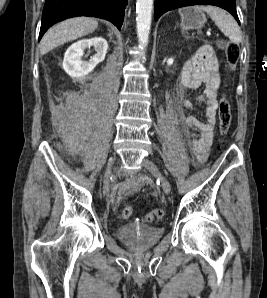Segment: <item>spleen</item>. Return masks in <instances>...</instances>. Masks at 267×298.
<instances>
[{
    "mask_svg": "<svg viewBox=\"0 0 267 298\" xmlns=\"http://www.w3.org/2000/svg\"><path fill=\"white\" fill-rule=\"evenodd\" d=\"M195 9L205 11L214 21L215 25L230 39L234 44H239L242 41L241 31L234 21L224 10L215 6H194Z\"/></svg>",
    "mask_w": 267,
    "mask_h": 298,
    "instance_id": "spleen-1",
    "label": "spleen"
}]
</instances>
